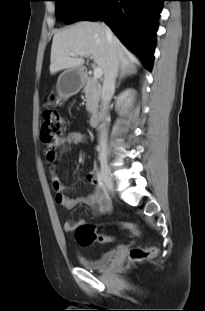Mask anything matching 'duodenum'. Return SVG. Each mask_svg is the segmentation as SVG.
<instances>
[{"instance_id": "obj_1", "label": "duodenum", "mask_w": 205, "mask_h": 311, "mask_svg": "<svg viewBox=\"0 0 205 311\" xmlns=\"http://www.w3.org/2000/svg\"><path fill=\"white\" fill-rule=\"evenodd\" d=\"M82 75L87 77V71L83 70ZM100 120V114L98 112H93L90 116V124L91 126H97Z\"/></svg>"}]
</instances>
